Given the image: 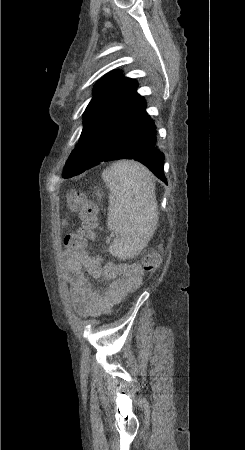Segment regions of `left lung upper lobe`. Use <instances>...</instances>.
<instances>
[{"label":"left lung upper lobe","instance_id":"obj_1","mask_svg":"<svg viewBox=\"0 0 245 450\" xmlns=\"http://www.w3.org/2000/svg\"><path fill=\"white\" fill-rule=\"evenodd\" d=\"M137 82L126 78L121 72L112 71L99 80L94 95L88 104L84 117V127L79 146L74 150L65 165L63 177L69 178L98 164L103 154L121 149L137 132L147 116L146 102L136 92ZM85 145L98 147L96 158L83 155L79 150Z\"/></svg>","mask_w":245,"mask_h":450}]
</instances>
